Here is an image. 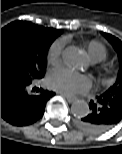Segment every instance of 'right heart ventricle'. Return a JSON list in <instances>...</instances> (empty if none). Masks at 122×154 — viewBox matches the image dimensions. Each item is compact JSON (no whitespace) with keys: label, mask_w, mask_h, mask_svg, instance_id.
Returning a JSON list of instances; mask_svg holds the SVG:
<instances>
[{"label":"right heart ventricle","mask_w":122,"mask_h":154,"mask_svg":"<svg viewBox=\"0 0 122 154\" xmlns=\"http://www.w3.org/2000/svg\"><path fill=\"white\" fill-rule=\"evenodd\" d=\"M84 46L87 50L90 60L93 63L101 62L107 57V49L98 41L92 40L85 42Z\"/></svg>","instance_id":"e07e8e85"}]
</instances>
